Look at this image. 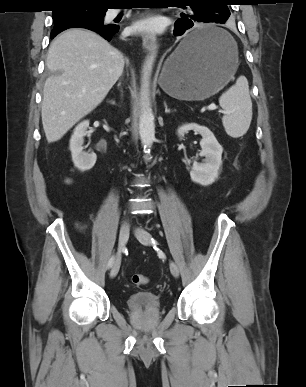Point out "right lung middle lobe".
I'll use <instances>...</instances> for the list:
<instances>
[{"label": "right lung middle lobe", "mask_w": 306, "mask_h": 387, "mask_svg": "<svg viewBox=\"0 0 306 387\" xmlns=\"http://www.w3.org/2000/svg\"><path fill=\"white\" fill-rule=\"evenodd\" d=\"M84 8H61L53 11L54 28L52 35L77 26H104L106 9L83 6Z\"/></svg>", "instance_id": "1"}]
</instances>
